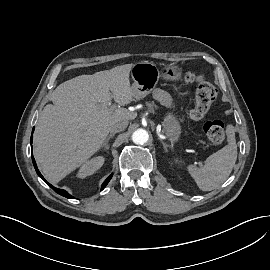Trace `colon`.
Here are the masks:
<instances>
[{
    "label": "colon",
    "instance_id": "1",
    "mask_svg": "<svg viewBox=\"0 0 270 270\" xmlns=\"http://www.w3.org/2000/svg\"><path fill=\"white\" fill-rule=\"evenodd\" d=\"M188 84L196 85L195 103L190 111V117L197 121L208 112L211 104L216 99L217 90L202 75L189 72L185 76ZM204 132L210 142L220 144L224 140V124L220 120H209L203 126Z\"/></svg>",
    "mask_w": 270,
    "mask_h": 270
}]
</instances>
